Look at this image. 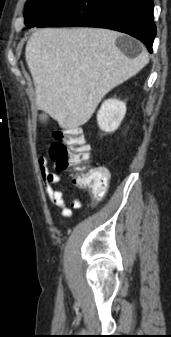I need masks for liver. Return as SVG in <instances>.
I'll list each match as a JSON object with an SVG mask.
<instances>
[{
  "label": "liver",
  "mask_w": 171,
  "mask_h": 337,
  "mask_svg": "<svg viewBox=\"0 0 171 337\" xmlns=\"http://www.w3.org/2000/svg\"><path fill=\"white\" fill-rule=\"evenodd\" d=\"M123 34L95 28H44L29 38L25 57L39 109L61 128L84 125L102 98L136 75L149 54L128 58L116 46Z\"/></svg>",
  "instance_id": "6515ba94"
}]
</instances>
